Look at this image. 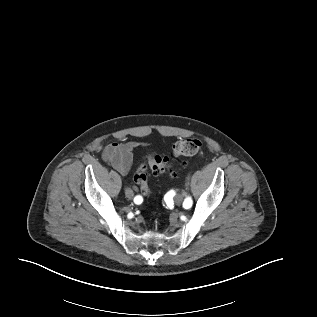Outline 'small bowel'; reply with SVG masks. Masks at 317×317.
<instances>
[{
	"label": "small bowel",
	"mask_w": 317,
	"mask_h": 317,
	"mask_svg": "<svg viewBox=\"0 0 317 317\" xmlns=\"http://www.w3.org/2000/svg\"><path fill=\"white\" fill-rule=\"evenodd\" d=\"M139 146L138 142L126 141L122 143H111L102 151L104 161L110 163L119 173L127 174L133 162L134 150ZM129 189V188H128ZM127 195L134 196V192L129 189Z\"/></svg>",
	"instance_id": "c3829d8e"
}]
</instances>
